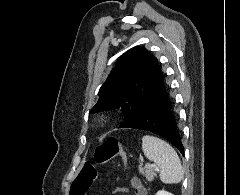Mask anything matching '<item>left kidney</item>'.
<instances>
[{"mask_svg":"<svg viewBox=\"0 0 240 195\" xmlns=\"http://www.w3.org/2000/svg\"><path fill=\"white\" fill-rule=\"evenodd\" d=\"M156 195H174V193H170V191H165V189H160V191H157Z\"/></svg>","mask_w":240,"mask_h":195,"instance_id":"left-kidney-1","label":"left kidney"}]
</instances>
